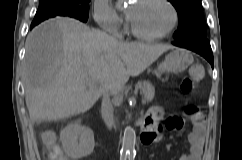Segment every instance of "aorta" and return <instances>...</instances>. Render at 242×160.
I'll return each mask as SVG.
<instances>
[{"mask_svg": "<svg viewBox=\"0 0 242 160\" xmlns=\"http://www.w3.org/2000/svg\"><path fill=\"white\" fill-rule=\"evenodd\" d=\"M136 133L132 127H126L124 130L122 150L130 152L135 148Z\"/></svg>", "mask_w": 242, "mask_h": 160, "instance_id": "obj_1", "label": "aorta"}]
</instances>
